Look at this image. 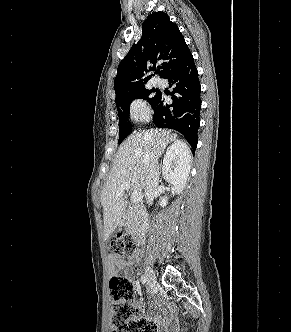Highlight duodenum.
I'll return each instance as SVG.
<instances>
[{"label":"duodenum","instance_id":"1","mask_svg":"<svg viewBox=\"0 0 291 332\" xmlns=\"http://www.w3.org/2000/svg\"><path fill=\"white\" fill-rule=\"evenodd\" d=\"M142 216H145L144 213H141ZM148 229V224H144L135 234V240L138 244H143L146 238V233Z\"/></svg>","mask_w":291,"mask_h":332}]
</instances>
